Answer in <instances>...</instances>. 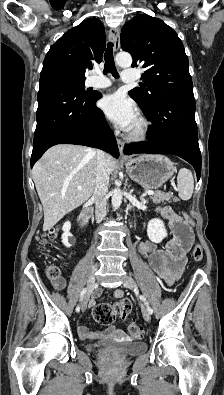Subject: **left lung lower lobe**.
<instances>
[{
  "mask_svg": "<svg viewBox=\"0 0 224 395\" xmlns=\"http://www.w3.org/2000/svg\"><path fill=\"white\" fill-rule=\"evenodd\" d=\"M152 123L148 129L150 140L130 144L124 153L173 154L185 159L195 169L197 178L201 175V153L198 145L195 122V99L190 96L168 99L144 111Z\"/></svg>",
  "mask_w": 224,
  "mask_h": 395,
  "instance_id": "left-lung-lower-lobe-1",
  "label": "left lung lower lobe"
}]
</instances>
